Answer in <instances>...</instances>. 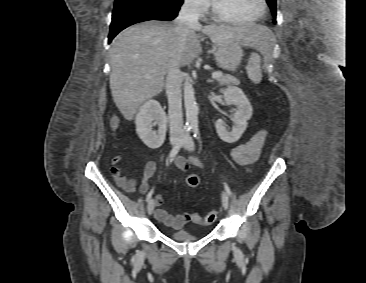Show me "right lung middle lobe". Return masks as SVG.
Listing matches in <instances>:
<instances>
[{
	"mask_svg": "<svg viewBox=\"0 0 366 283\" xmlns=\"http://www.w3.org/2000/svg\"><path fill=\"white\" fill-rule=\"evenodd\" d=\"M169 6H179L182 4L183 0H163Z\"/></svg>",
	"mask_w": 366,
	"mask_h": 283,
	"instance_id": "right-lung-middle-lobe-1",
	"label": "right lung middle lobe"
}]
</instances>
